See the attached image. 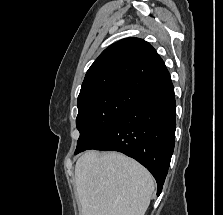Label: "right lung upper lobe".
Wrapping results in <instances>:
<instances>
[{"mask_svg": "<svg viewBox=\"0 0 223 215\" xmlns=\"http://www.w3.org/2000/svg\"><path fill=\"white\" fill-rule=\"evenodd\" d=\"M169 82L170 74L155 49L142 39L126 38L110 45L90 66L77 104L114 90L142 96Z\"/></svg>", "mask_w": 223, "mask_h": 215, "instance_id": "cb5924a9", "label": "right lung upper lobe"}]
</instances>
